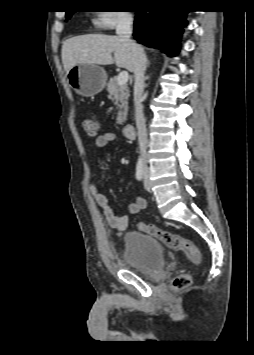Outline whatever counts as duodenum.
Listing matches in <instances>:
<instances>
[{
  "label": "duodenum",
  "instance_id": "duodenum-1",
  "mask_svg": "<svg viewBox=\"0 0 254 355\" xmlns=\"http://www.w3.org/2000/svg\"><path fill=\"white\" fill-rule=\"evenodd\" d=\"M134 126L132 124H126L123 127V134L126 138L131 139L134 137Z\"/></svg>",
  "mask_w": 254,
  "mask_h": 355
}]
</instances>
